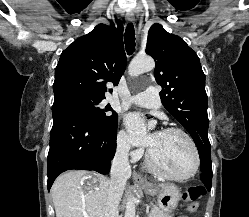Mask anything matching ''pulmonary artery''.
Returning a JSON list of instances; mask_svg holds the SVG:
<instances>
[{
    "label": "pulmonary artery",
    "mask_w": 249,
    "mask_h": 217,
    "mask_svg": "<svg viewBox=\"0 0 249 217\" xmlns=\"http://www.w3.org/2000/svg\"><path fill=\"white\" fill-rule=\"evenodd\" d=\"M127 100L146 108L159 109L161 107V100L156 87L150 86L145 91L136 95L129 96Z\"/></svg>",
    "instance_id": "obj_1"
}]
</instances>
